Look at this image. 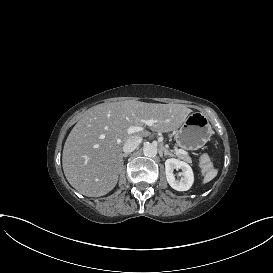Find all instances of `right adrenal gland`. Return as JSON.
<instances>
[{
  "label": "right adrenal gland",
  "mask_w": 273,
  "mask_h": 273,
  "mask_svg": "<svg viewBox=\"0 0 273 273\" xmlns=\"http://www.w3.org/2000/svg\"><path fill=\"white\" fill-rule=\"evenodd\" d=\"M125 156H128V153H124V154L122 155V157H125Z\"/></svg>",
  "instance_id": "2a0ac1e0"
}]
</instances>
